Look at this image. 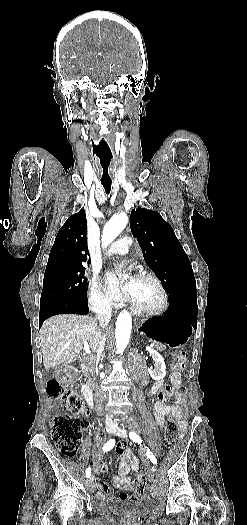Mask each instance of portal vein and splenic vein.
Instances as JSON below:
<instances>
[{
  "instance_id": "portal-vein-and-splenic-vein-1",
  "label": "portal vein and splenic vein",
  "mask_w": 247,
  "mask_h": 525,
  "mask_svg": "<svg viewBox=\"0 0 247 525\" xmlns=\"http://www.w3.org/2000/svg\"><path fill=\"white\" fill-rule=\"evenodd\" d=\"M149 346H156V343H149ZM84 351L87 353V355H90L91 351L87 345H84Z\"/></svg>"
}]
</instances>
